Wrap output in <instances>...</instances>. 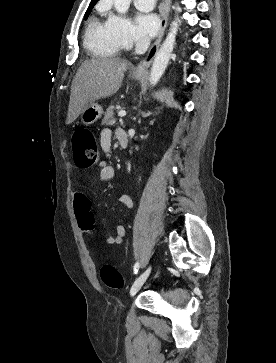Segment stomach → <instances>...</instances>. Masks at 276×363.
Instances as JSON below:
<instances>
[{"label": "stomach", "instance_id": "1", "mask_svg": "<svg viewBox=\"0 0 276 363\" xmlns=\"http://www.w3.org/2000/svg\"><path fill=\"white\" fill-rule=\"evenodd\" d=\"M144 75L133 74L134 79L141 80ZM103 114L102 107L97 103H90L80 114L81 121L85 125H91L101 118Z\"/></svg>", "mask_w": 276, "mask_h": 363}]
</instances>
